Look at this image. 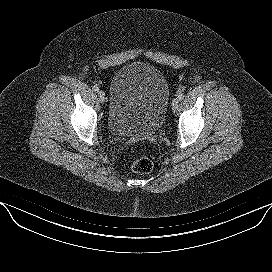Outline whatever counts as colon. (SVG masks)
I'll list each match as a JSON object with an SVG mask.
<instances>
[{
  "label": "colon",
  "mask_w": 272,
  "mask_h": 272,
  "mask_svg": "<svg viewBox=\"0 0 272 272\" xmlns=\"http://www.w3.org/2000/svg\"><path fill=\"white\" fill-rule=\"evenodd\" d=\"M131 168L135 173L148 174L153 169V163L146 156H138L132 161Z\"/></svg>",
  "instance_id": "colon-1"
}]
</instances>
